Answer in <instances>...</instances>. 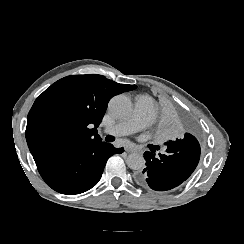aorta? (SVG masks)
Returning a JSON list of instances; mask_svg holds the SVG:
<instances>
[{
	"label": "aorta",
	"mask_w": 244,
	"mask_h": 244,
	"mask_svg": "<svg viewBox=\"0 0 244 244\" xmlns=\"http://www.w3.org/2000/svg\"><path fill=\"white\" fill-rule=\"evenodd\" d=\"M108 109L114 117L125 118L132 112V102L125 95H116L110 99ZM126 163L132 170H142L145 167V159L139 153L129 154Z\"/></svg>",
	"instance_id": "obj_1"
}]
</instances>
